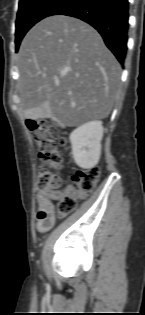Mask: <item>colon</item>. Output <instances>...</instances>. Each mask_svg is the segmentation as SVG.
<instances>
[{
    "label": "colon",
    "instance_id": "obj_1",
    "mask_svg": "<svg viewBox=\"0 0 145 315\" xmlns=\"http://www.w3.org/2000/svg\"><path fill=\"white\" fill-rule=\"evenodd\" d=\"M27 126L39 149L41 169L38 174V187L41 190H57L61 187V177L58 173L61 167L58 129L45 120L30 119L27 121ZM99 174L98 167L78 170L72 177L71 192L64 194L57 202V213L66 215L72 212L76 207V198L85 196L94 189Z\"/></svg>",
    "mask_w": 145,
    "mask_h": 315
}]
</instances>
